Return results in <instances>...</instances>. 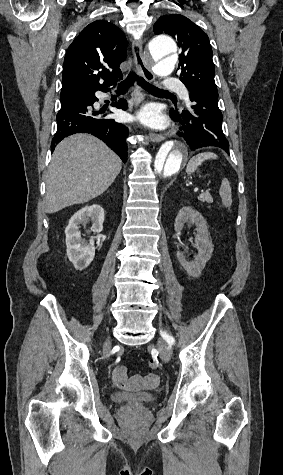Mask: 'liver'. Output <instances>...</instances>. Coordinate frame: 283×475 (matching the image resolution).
I'll use <instances>...</instances> for the list:
<instances>
[{
    "instance_id": "obj_1",
    "label": "liver",
    "mask_w": 283,
    "mask_h": 475,
    "mask_svg": "<svg viewBox=\"0 0 283 475\" xmlns=\"http://www.w3.org/2000/svg\"><path fill=\"white\" fill-rule=\"evenodd\" d=\"M122 168L121 160L90 134H74L56 146L46 176L45 212L85 204L103 194Z\"/></svg>"
}]
</instances>
